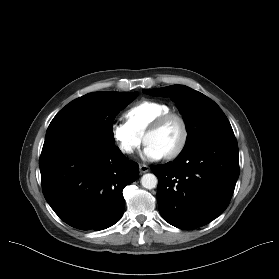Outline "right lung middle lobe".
<instances>
[{
    "label": "right lung middle lobe",
    "mask_w": 279,
    "mask_h": 279,
    "mask_svg": "<svg viewBox=\"0 0 279 279\" xmlns=\"http://www.w3.org/2000/svg\"><path fill=\"white\" fill-rule=\"evenodd\" d=\"M137 96L138 92H93L77 98L53 118L45 141L76 135L105 147L115 146L113 121Z\"/></svg>",
    "instance_id": "right-lung-middle-lobe-1"
}]
</instances>
